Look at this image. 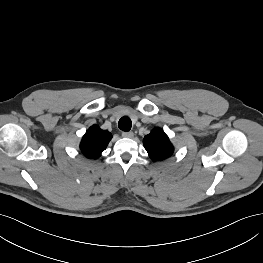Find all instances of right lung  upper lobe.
<instances>
[{
    "instance_id": "1",
    "label": "right lung upper lobe",
    "mask_w": 263,
    "mask_h": 263,
    "mask_svg": "<svg viewBox=\"0 0 263 263\" xmlns=\"http://www.w3.org/2000/svg\"><path fill=\"white\" fill-rule=\"evenodd\" d=\"M111 138V133L100 129L97 125H93L83 136L80 149L86 157L98 158L106 149Z\"/></svg>"
}]
</instances>
